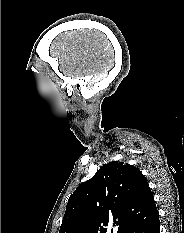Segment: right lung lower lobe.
<instances>
[{"mask_svg":"<svg viewBox=\"0 0 184 233\" xmlns=\"http://www.w3.org/2000/svg\"><path fill=\"white\" fill-rule=\"evenodd\" d=\"M159 229V214L154 204L139 219L128 226L123 233H159Z\"/></svg>","mask_w":184,"mask_h":233,"instance_id":"obj_1","label":"right lung lower lobe"}]
</instances>
